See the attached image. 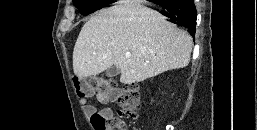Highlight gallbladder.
<instances>
[{
    "instance_id": "obj_1",
    "label": "gallbladder",
    "mask_w": 257,
    "mask_h": 130,
    "mask_svg": "<svg viewBox=\"0 0 257 130\" xmlns=\"http://www.w3.org/2000/svg\"><path fill=\"white\" fill-rule=\"evenodd\" d=\"M120 74V69L117 68L116 66H111L106 70V76L107 77H115Z\"/></svg>"
}]
</instances>
